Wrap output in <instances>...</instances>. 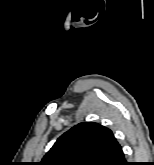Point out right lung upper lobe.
I'll list each match as a JSON object with an SVG mask.
<instances>
[{"label":"right lung upper lobe","instance_id":"right-lung-upper-lobe-1","mask_svg":"<svg viewBox=\"0 0 154 165\" xmlns=\"http://www.w3.org/2000/svg\"><path fill=\"white\" fill-rule=\"evenodd\" d=\"M119 150L111 130L85 122L58 138L39 165H110Z\"/></svg>","mask_w":154,"mask_h":165}]
</instances>
